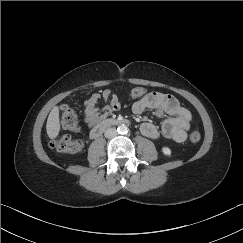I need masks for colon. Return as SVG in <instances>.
Instances as JSON below:
<instances>
[{"mask_svg":"<svg viewBox=\"0 0 243 243\" xmlns=\"http://www.w3.org/2000/svg\"><path fill=\"white\" fill-rule=\"evenodd\" d=\"M143 93V88L136 87L130 91L129 96L132 99H137L142 97ZM61 123L68 130L79 131L77 115L67 104L61 106ZM189 138L192 142H198L201 139V134L198 131H192ZM51 146L59 152L77 153L82 150L83 142L72 139L69 135H61L52 141Z\"/></svg>","mask_w":243,"mask_h":243,"instance_id":"colon-1","label":"colon"}]
</instances>
